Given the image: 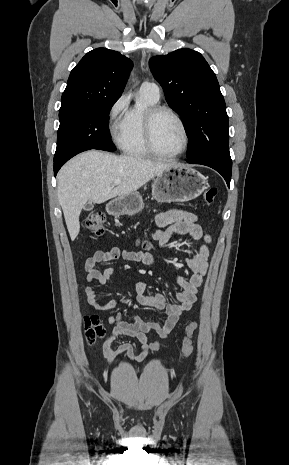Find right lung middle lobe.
<instances>
[{"label":"right lung middle lobe","mask_w":289,"mask_h":465,"mask_svg":"<svg viewBox=\"0 0 289 465\" xmlns=\"http://www.w3.org/2000/svg\"><path fill=\"white\" fill-rule=\"evenodd\" d=\"M116 101L107 100L89 107L59 110L60 126L54 162L69 160L90 149L114 151L108 114Z\"/></svg>","instance_id":"dd1d6c3e"}]
</instances>
